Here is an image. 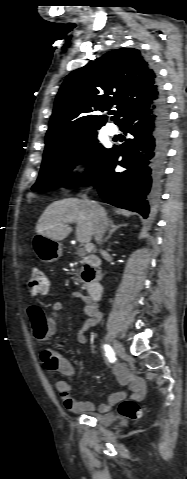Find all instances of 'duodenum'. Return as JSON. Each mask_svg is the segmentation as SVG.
Returning a JSON list of instances; mask_svg holds the SVG:
<instances>
[{"label":"duodenum","instance_id":"410a0bca","mask_svg":"<svg viewBox=\"0 0 187 479\" xmlns=\"http://www.w3.org/2000/svg\"><path fill=\"white\" fill-rule=\"evenodd\" d=\"M84 264L87 273L85 281L87 282L88 295L95 302L100 299L103 292V287L96 278V268L99 267L100 260L96 256H88Z\"/></svg>","mask_w":187,"mask_h":479}]
</instances>
